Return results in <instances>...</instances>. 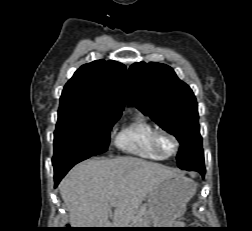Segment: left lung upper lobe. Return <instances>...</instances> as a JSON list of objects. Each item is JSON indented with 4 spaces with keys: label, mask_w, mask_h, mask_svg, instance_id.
I'll return each mask as SVG.
<instances>
[{
    "label": "left lung upper lobe",
    "mask_w": 252,
    "mask_h": 231,
    "mask_svg": "<svg viewBox=\"0 0 252 231\" xmlns=\"http://www.w3.org/2000/svg\"><path fill=\"white\" fill-rule=\"evenodd\" d=\"M126 102L178 139L181 148L177 161L181 169L204 165L196 98L171 67L154 62L131 65Z\"/></svg>",
    "instance_id": "left-lung-upper-lobe-1"
}]
</instances>
